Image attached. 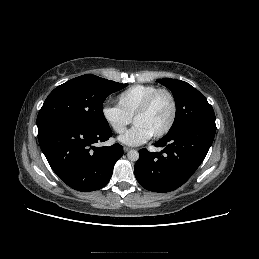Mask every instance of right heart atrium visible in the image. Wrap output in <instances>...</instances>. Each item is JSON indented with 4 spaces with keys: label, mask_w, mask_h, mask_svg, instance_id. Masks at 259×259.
I'll return each instance as SVG.
<instances>
[{
    "label": "right heart atrium",
    "mask_w": 259,
    "mask_h": 259,
    "mask_svg": "<svg viewBox=\"0 0 259 259\" xmlns=\"http://www.w3.org/2000/svg\"><path fill=\"white\" fill-rule=\"evenodd\" d=\"M101 113L105 122L117 134H122L132 121V118L122 112L118 106L105 104Z\"/></svg>",
    "instance_id": "1"
}]
</instances>
